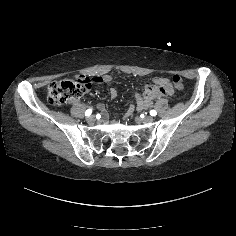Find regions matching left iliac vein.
<instances>
[{
  "label": "left iliac vein",
  "mask_w": 236,
  "mask_h": 236,
  "mask_svg": "<svg viewBox=\"0 0 236 236\" xmlns=\"http://www.w3.org/2000/svg\"><path fill=\"white\" fill-rule=\"evenodd\" d=\"M136 120H139V121L142 120V122H145V123H152L154 119L152 116H145L142 119L140 117H137Z\"/></svg>",
  "instance_id": "obj_1"
}]
</instances>
